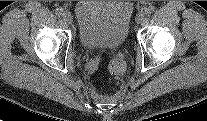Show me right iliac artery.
<instances>
[{
	"mask_svg": "<svg viewBox=\"0 0 207 121\" xmlns=\"http://www.w3.org/2000/svg\"><path fill=\"white\" fill-rule=\"evenodd\" d=\"M55 13H56V15H57L58 17H60V16H63V15H64V10H63V8H57V9L55 10Z\"/></svg>",
	"mask_w": 207,
	"mask_h": 121,
	"instance_id": "1",
	"label": "right iliac artery"
}]
</instances>
